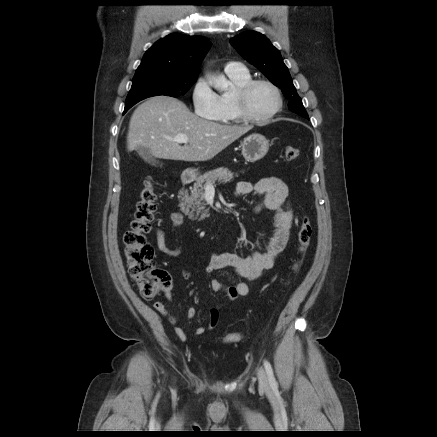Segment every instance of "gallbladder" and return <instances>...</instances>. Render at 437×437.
<instances>
[{
	"instance_id": "bac80fb5",
	"label": "gallbladder",
	"mask_w": 437,
	"mask_h": 437,
	"mask_svg": "<svg viewBox=\"0 0 437 437\" xmlns=\"http://www.w3.org/2000/svg\"><path fill=\"white\" fill-rule=\"evenodd\" d=\"M136 152L145 162L154 166L159 164V161L152 155L149 148L139 146L136 148Z\"/></svg>"
}]
</instances>
